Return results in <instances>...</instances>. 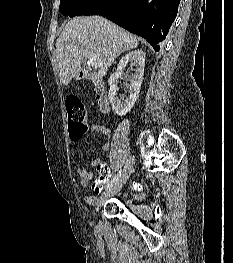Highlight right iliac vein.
Returning <instances> with one entry per match:
<instances>
[{"instance_id":"63e3f726","label":"right iliac vein","mask_w":233,"mask_h":263,"mask_svg":"<svg viewBox=\"0 0 233 263\" xmlns=\"http://www.w3.org/2000/svg\"><path fill=\"white\" fill-rule=\"evenodd\" d=\"M134 164H135V158L133 156H130L128 158V160L125 163V167L123 170L122 175L120 176V178L118 179V181L109 189H107L100 197V201H99V206L102 205V203L110 196L114 195L115 193H117L127 182V180L129 179L130 175L133 172L134 169Z\"/></svg>"}]
</instances>
